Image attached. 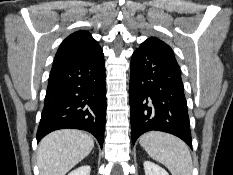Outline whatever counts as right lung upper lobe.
<instances>
[{
    "mask_svg": "<svg viewBox=\"0 0 233 175\" xmlns=\"http://www.w3.org/2000/svg\"><path fill=\"white\" fill-rule=\"evenodd\" d=\"M100 50L99 44L89 32H74L61 43L52 69L86 59Z\"/></svg>",
    "mask_w": 233,
    "mask_h": 175,
    "instance_id": "1",
    "label": "right lung upper lobe"
}]
</instances>
